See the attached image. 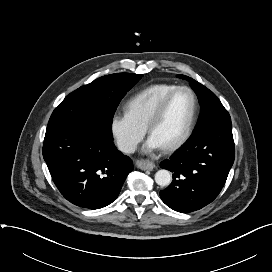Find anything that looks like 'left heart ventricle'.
Listing matches in <instances>:
<instances>
[{
  "label": "left heart ventricle",
  "instance_id": "left-heart-ventricle-1",
  "mask_svg": "<svg viewBox=\"0 0 272 272\" xmlns=\"http://www.w3.org/2000/svg\"><path fill=\"white\" fill-rule=\"evenodd\" d=\"M193 108L191 95L187 91H180L171 99L165 114L154 127L153 136L161 146L177 140L184 132Z\"/></svg>",
  "mask_w": 272,
  "mask_h": 272
}]
</instances>
